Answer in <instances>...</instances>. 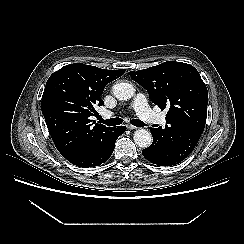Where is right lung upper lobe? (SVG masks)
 <instances>
[{
  "mask_svg": "<svg viewBox=\"0 0 244 244\" xmlns=\"http://www.w3.org/2000/svg\"><path fill=\"white\" fill-rule=\"evenodd\" d=\"M124 72L74 63L49 77L41 109L52 140L64 157L96 146L112 129L93 125L90 116L96 112L94 106L104 104L101 95L105 85Z\"/></svg>",
  "mask_w": 244,
  "mask_h": 244,
  "instance_id": "obj_1",
  "label": "right lung upper lobe"
}]
</instances>
